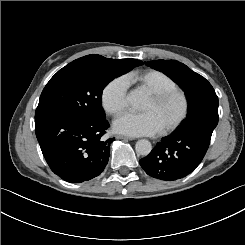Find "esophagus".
Here are the masks:
<instances>
[{
	"label": "esophagus",
	"mask_w": 245,
	"mask_h": 245,
	"mask_svg": "<svg viewBox=\"0 0 245 245\" xmlns=\"http://www.w3.org/2000/svg\"><path fill=\"white\" fill-rule=\"evenodd\" d=\"M116 139L134 140L135 138L125 135H117Z\"/></svg>",
	"instance_id": "1"
}]
</instances>
